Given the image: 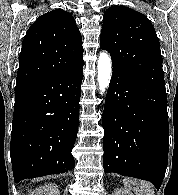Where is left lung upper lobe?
I'll use <instances>...</instances> for the list:
<instances>
[{
	"instance_id": "5c2ea615",
	"label": "left lung upper lobe",
	"mask_w": 178,
	"mask_h": 195,
	"mask_svg": "<svg viewBox=\"0 0 178 195\" xmlns=\"http://www.w3.org/2000/svg\"><path fill=\"white\" fill-rule=\"evenodd\" d=\"M100 48L110 53L113 70L165 91L159 39L145 15L125 6L107 9Z\"/></svg>"
}]
</instances>
